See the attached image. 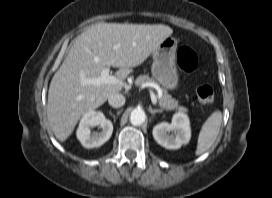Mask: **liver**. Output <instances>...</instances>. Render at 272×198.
<instances>
[{
    "label": "liver",
    "mask_w": 272,
    "mask_h": 198,
    "mask_svg": "<svg viewBox=\"0 0 272 198\" xmlns=\"http://www.w3.org/2000/svg\"><path fill=\"white\" fill-rule=\"evenodd\" d=\"M172 33L163 24L119 23H97L83 32L50 83L47 118L56 138L64 142L81 116L123 88L113 84L82 85V78L98 77L104 68L113 66L120 68L116 77L124 83L132 68L142 64ZM115 44L120 47L115 49Z\"/></svg>",
    "instance_id": "liver-1"
}]
</instances>
